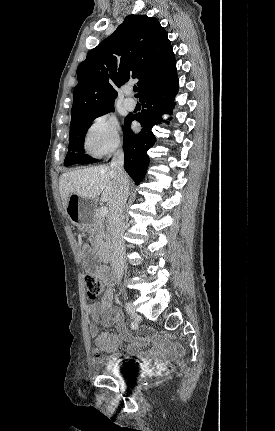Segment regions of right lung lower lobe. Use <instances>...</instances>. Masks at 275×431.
Returning <instances> with one entry per match:
<instances>
[{"instance_id":"98d812e1","label":"right lung lower lobe","mask_w":275,"mask_h":431,"mask_svg":"<svg viewBox=\"0 0 275 431\" xmlns=\"http://www.w3.org/2000/svg\"><path fill=\"white\" fill-rule=\"evenodd\" d=\"M178 84L175 69L165 80L140 97V102L145 109L141 113L129 117L125 126L124 168L137 185L143 180L149 164L147 150L156 142L151 131L152 127L161 122L162 114L171 113ZM133 120H137L141 124L142 130L138 134L133 133L130 129Z\"/></svg>"}]
</instances>
